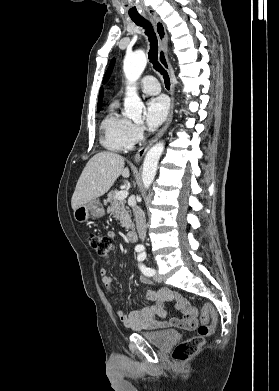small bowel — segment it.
<instances>
[{
	"mask_svg": "<svg viewBox=\"0 0 279 391\" xmlns=\"http://www.w3.org/2000/svg\"><path fill=\"white\" fill-rule=\"evenodd\" d=\"M108 236L113 238L115 237V233L110 231L108 232ZM100 275L109 298L117 308V316L126 327L133 330H154L171 327L192 330L197 327V311L182 295L165 287L147 291V299L154 302L152 306L126 314L119 308V302L112 287L113 281L107 274V270L101 268ZM141 281L145 284L152 283L147 277H142ZM168 301H175L176 309L181 314L179 317H172L168 320H164L166 311L163 303Z\"/></svg>",
	"mask_w": 279,
	"mask_h": 391,
	"instance_id": "1",
	"label": "small bowel"
}]
</instances>
